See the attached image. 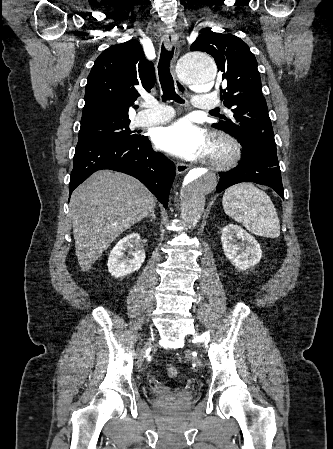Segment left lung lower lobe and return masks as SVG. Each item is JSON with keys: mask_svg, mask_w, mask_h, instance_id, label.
<instances>
[{"mask_svg": "<svg viewBox=\"0 0 333 449\" xmlns=\"http://www.w3.org/2000/svg\"><path fill=\"white\" fill-rule=\"evenodd\" d=\"M219 176L220 180L216 188L218 193L240 182H255L273 188L284 199L278 159L252 156L243 152L238 166L228 172L220 173Z\"/></svg>", "mask_w": 333, "mask_h": 449, "instance_id": "0a47b994", "label": "left lung lower lobe"}]
</instances>
